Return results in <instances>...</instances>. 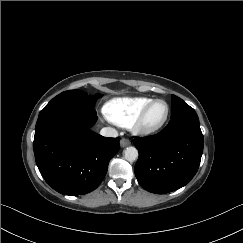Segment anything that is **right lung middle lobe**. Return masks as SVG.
I'll return each mask as SVG.
<instances>
[{
    "label": "right lung middle lobe",
    "instance_id": "obj_1",
    "mask_svg": "<svg viewBox=\"0 0 243 243\" xmlns=\"http://www.w3.org/2000/svg\"><path fill=\"white\" fill-rule=\"evenodd\" d=\"M102 97L101 94L95 96L87 95L82 90H68L54 97L44 108L48 109L53 106H71L84 109H94L96 99Z\"/></svg>",
    "mask_w": 243,
    "mask_h": 243
}]
</instances>
